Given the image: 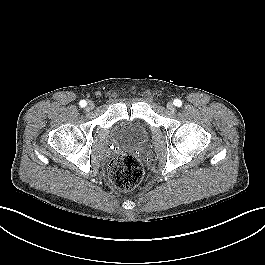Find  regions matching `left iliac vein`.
<instances>
[{"mask_svg": "<svg viewBox=\"0 0 265 265\" xmlns=\"http://www.w3.org/2000/svg\"><path fill=\"white\" fill-rule=\"evenodd\" d=\"M167 107H168V109L171 110V111H175V109H176L175 106H174V104L171 103V102L168 103Z\"/></svg>", "mask_w": 265, "mask_h": 265, "instance_id": "1", "label": "left iliac vein"}]
</instances>
